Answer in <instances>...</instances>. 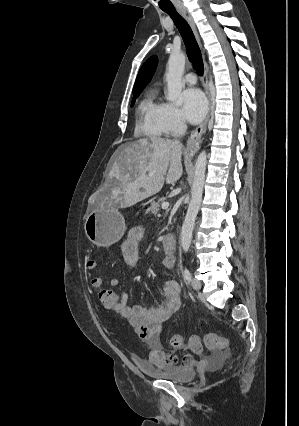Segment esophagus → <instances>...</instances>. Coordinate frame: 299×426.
I'll return each instance as SVG.
<instances>
[{"label": "esophagus", "mask_w": 299, "mask_h": 426, "mask_svg": "<svg viewBox=\"0 0 299 426\" xmlns=\"http://www.w3.org/2000/svg\"><path fill=\"white\" fill-rule=\"evenodd\" d=\"M182 14L185 17V19L187 20V22L189 23V25L191 26L200 48L203 49L201 38L199 36L198 30L196 28L195 22H194V20L191 16V14L186 10H182ZM203 86H204L205 93H206L208 101H209V110H208V114H207L205 120L191 133L190 137L188 138L187 149L190 152H194V151H197L199 149L201 139H202V135L206 131L207 123H208V120L210 118V114H211V110H212V100H211V95H210L209 85H208V64H207L205 58H204Z\"/></svg>", "instance_id": "34e87169"}]
</instances>
